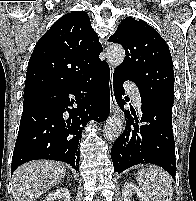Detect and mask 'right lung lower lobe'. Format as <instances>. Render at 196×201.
Wrapping results in <instances>:
<instances>
[{
    "mask_svg": "<svg viewBox=\"0 0 196 201\" xmlns=\"http://www.w3.org/2000/svg\"><path fill=\"white\" fill-rule=\"evenodd\" d=\"M109 76L101 62L71 83L24 97L11 174L37 159L63 161L78 172L84 126L91 119L104 121L110 112Z\"/></svg>",
    "mask_w": 196,
    "mask_h": 201,
    "instance_id": "obj_1",
    "label": "right lung lower lobe"
}]
</instances>
